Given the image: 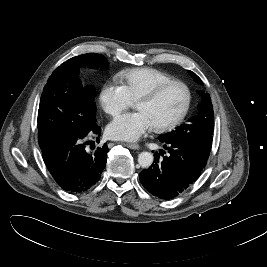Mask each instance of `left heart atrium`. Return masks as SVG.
<instances>
[{"label": "left heart atrium", "instance_id": "obj_1", "mask_svg": "<svg viewBox=\"0 0 267 267\" xmlns=\"http://www.w3.org/2000/svg\"><path fill=\"white\" fill-rule=\"evenodd\" d=\"M152 128L140 111L125 113L115 118L107 127L108 135L116 140L136 141Z\"/></svg>", "mask_w": 267, "mask_h": 267}]
</instances>
